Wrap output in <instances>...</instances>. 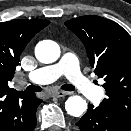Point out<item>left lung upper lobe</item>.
<instances>
[{"instance_id": "obj_1", "label": "left lung upper lobe", "mask_w": 131, "mask_h": 131, "mask_svg": "<svg viewBox=\"0 0 131 131\" xmlns=\"http://www.w3.org/2000/svg\"><path fill=\"white\" fill-rule=\"evenodd\" d=\"M83 42L107 97L100 105L131 123V36L117 23L88 15L65 22Z\"/></svg>"}]
</instances>
